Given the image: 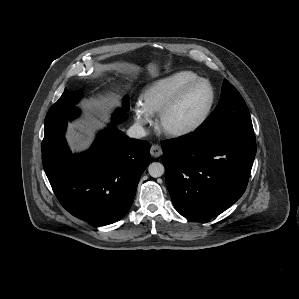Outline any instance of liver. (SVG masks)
<instances>
[{
    "instance_id": "1",
    "label": "liver",
    "mask_w": 299,
    "mask_h": 299,
    "mask_svg": "<svg viewBox=\"0 0 299 299\" xmlns=\"http://www.w3.org/2000/svg\"><path fill=\"white\" fill-rule=\"evenodd\" d=\"M87 130L82 125H75L68 131L67 139L72 147L82 145Z\"/></svg>"
}]
</instances>
